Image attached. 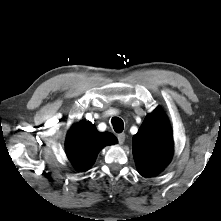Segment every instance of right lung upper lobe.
Segmentation results:
<instances>
[{"label": "right lung upper lobe", "mask_w": 221, "mask_h": 221, "mask_svg": "<svg viewBox=\"0 0 221 221\" xmlns=\"http://www.w3.org/2000/svg\"><path fill=\"white\" fill-rule=\"evenodd\" d=\"M116 143L117 138L112 133L99 132L92 123L80 121L68 132L65 148L75 168L86 171L94 163L101 148Z\"/></svg>", "instance_id": "right-lung-upper-lobe-1"}]
</instances>
